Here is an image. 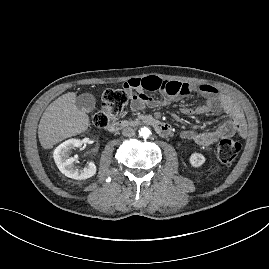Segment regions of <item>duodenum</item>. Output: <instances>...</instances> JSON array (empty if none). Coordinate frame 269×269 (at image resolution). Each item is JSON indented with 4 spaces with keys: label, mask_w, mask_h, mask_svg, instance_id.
<instances>
[{
    "label": "duodenum",
    "mask_w": 269,
    "mask_h": 269,
    "mask_svg": "<svg viewBox=\"0 0 269 269\" xmlns=\"http://www.w3.org/2000/svg\"><path fill=\"white\" fill-rule=\"evenodd\" d=\"M138 123L151 125L152 127H154V129L156 130L158 134L164 137L169 136L172 133V129L169 124L161 122L149 115L142 116L136 120H122V121L112 122L111 124H109L108 130L112 133H115L125 127L133 126Z\"/></svg>",
    "instance_id": "410a0bca"
}]
</instances>
